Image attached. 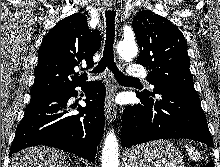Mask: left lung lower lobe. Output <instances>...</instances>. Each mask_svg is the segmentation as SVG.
Wrapping results in <instances>:
<instances>
[{
  "mask_svg": "<svg viewBox=\"0 0 220 167\" xmlns=\"http://www.w3.org/2000/svg\"><path fill=\"white\" fill-rule=\"evenodd\" d=\"M141 100L123 112L124 147L164 138H187L213 147L199 96L195 90L169 85L153 95L136 92Z\"/></svg>",
  "mask_w": 220,
  "mask_h": 167,
  "instance_id": "1",
  "label": "left lung lower lobe"
}]
</instances>
